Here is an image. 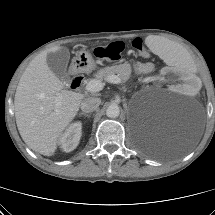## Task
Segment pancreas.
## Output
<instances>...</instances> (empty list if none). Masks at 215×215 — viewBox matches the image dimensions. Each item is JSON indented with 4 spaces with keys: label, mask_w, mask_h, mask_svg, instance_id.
I'll return each mask as SVG.
<instances>
[{
    "label": "pancreas",
    "mask_w": 215,
    "mask_h": 215,
    "mask_svg": "<svg viewBox=\"0 0 215 215\" xmlns=\"http://www.w3.org/2000/svg\"><path fill=\"white\" fill-rule=\"evenodd\" d=\"M131 66L128 63L115 65L111 67H105L100 69L96 74V80H106L109 76L117 74L121 79L128 80L131 75Z\"/></svg>",
    "instance_id": "pancreas-1"
}]
</instances>
